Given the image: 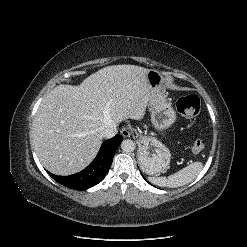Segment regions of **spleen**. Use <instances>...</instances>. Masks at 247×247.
<instances>
[{
  "label": "spleen",
  "mask_w": 247,
  "mask_h": 247,
  "mask_svg": "<svg viewBox=\"0 0 247 247\" xmlns=\"http://www.w3.org/2000/svg\"><path fill=\"white\" fill-rule=\"evenodd\" d=\"M201 162H193L178 172L168 177H151L150 181L161 187H180L191 182L202 170Z\"/></svg>",
  "instance_id": "1"
}]
</instances>
